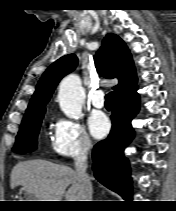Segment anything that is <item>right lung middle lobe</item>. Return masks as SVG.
Here are the masks:
<instances>
[{"mask_svg":"<svg viewBox=\"0 0 176 211\" xmlns=\"http://www.w3.org/2000/svg\"><path fill=\"white\" fill-rule=\"evenodd\" d=\"M45 111L23 118L19 133L16 137L13 151L19 154L32 152L36 149V140Z\"/></svg>","mask_w":176,"mask_h":211,"instance_id":"right-lung-middle-lobe-1","label":"right lung middle lobe"}]
</instances>
